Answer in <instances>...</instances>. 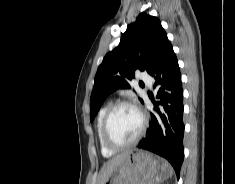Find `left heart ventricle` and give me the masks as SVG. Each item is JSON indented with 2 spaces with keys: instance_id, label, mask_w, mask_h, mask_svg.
I'll list each match as a JSON object with an SVG mask.
<instances>
[{
  "instance_id": "b2bd125f",
  "label": "left heart ventricle",
  "mask_w": 235,
  "mask_h": 184,
  "mask_svg": "<svg viewBox=\"0 0 235 184\" xmlns=\"http://www.w3.org/2000/svg\"><path fill=\"white\" fill-rule=\"evenodd\" d=\"M140 126L141 116L135 109L131 107L119 108L111 119V137L116 142H128L137 135Z\"/></svg>"
}]
</instances>
